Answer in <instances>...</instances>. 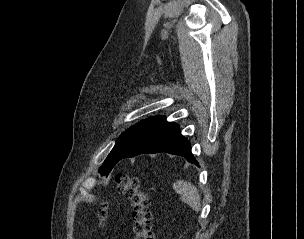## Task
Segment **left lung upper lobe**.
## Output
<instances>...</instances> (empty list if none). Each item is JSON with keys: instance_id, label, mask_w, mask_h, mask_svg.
Listing matches in <instances>:
<instances>
[{"instance_id": "1", "label": "left lung upper lobe", "mask_w": 304, "mask_h": 239, "mask_svg": "<svg viewBox=\"0 0 304 239\" xmlns=\"http://www.w3.org/2000/svg\"><path fill=\"white\" fill-rule=\"evenodd\" d=\"M165 124H167V122L163 116H155L129 128L118 138L114 148L100 167L99 173L107 176L128 151Z\"/></svg>"}]
</instances>
